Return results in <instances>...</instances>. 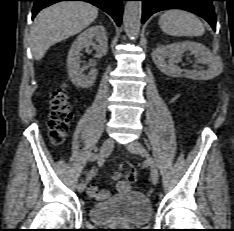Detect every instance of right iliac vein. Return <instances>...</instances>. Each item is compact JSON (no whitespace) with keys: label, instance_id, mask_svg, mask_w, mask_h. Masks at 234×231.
Returning a JSON list of instances; mask_svg holds the SVG:
<instances>
[{"label":"right iliac vein","instance_id":"right-iliac-vein-1","mask_svg":"<svg viewBox=\"0 0 234 231\" xmlns=\"http://www.w3.org/2000/svg\"><path fill=\"white\" fill-rule=\"evenodd\" d=\"M113 146H114V140L112 138L105 139L100 149V157L101 158L107 157L110 154ZM84 189H85V185L82 183H80L77 187V190L80 193L83 192Z\"/></svg>","mask_w":234,"mask_h":231}]
</instances>
